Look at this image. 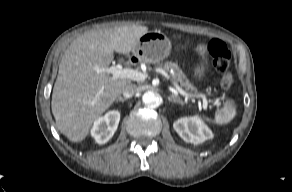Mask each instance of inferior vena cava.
<instances>
[{
	"label": "inferior vena cava",
	"instance_id": "inferior-vena-cava-1",
	"mask_svg": "<svg viewBox=\"0 0 292 192\" xmlns=\"http://www.w3.org/2000/svg\"><path fill=\"white\" fill-rule=\"evenodd\" d=\"M138 91V88L136 85L129 83L124 89H123V96L125 98H131L133 97Z\"/></svg>",
	"mask_w": 292,
	"mask_h": 192
}]
</instances>
